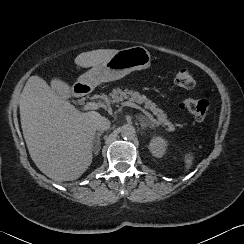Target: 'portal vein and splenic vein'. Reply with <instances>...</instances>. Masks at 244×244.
<instances>
[{"label":"portal vein and splenic vein","instance_id":"obj_1","mask_svg":"<svg viewBox=\"0 0 244 244\" xmlns=\"http://www.w3.org/2000/svg\"><path fill=\"white\" fill-rule=\"evenodd\" d=\"M123 106H129L135 109H138L140 111H142L151 121L154 122V124H156L157 126H160L161 124L154 119V117L148 112L146 111L144 108H142L141 106L132 103V102H123L122 103ZM101 107L100 103H96V102H88L84 105L83 110L87 111V110H97Z\"/></svg>","mask_w":244,"mask_h":244}]
</instances>
